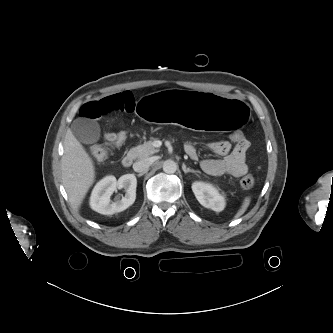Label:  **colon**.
<instances>
[{
	"label": "colon",
	"mask_w": 333,
	"mask_h": 333,
	"mask_svg": "<svg viewBox=\"0 0 333 333\" xmlns=\"http://www.w3.org/2000/svg\"><path fill=\"white\" fill-rule=\"evenodd\" d=\"M229 137L230 140L234 143H241L244 140H246L245 135L239 130L232 131ZM126 139H127V132L121 131L117 134H114L111 144H113L114 146H120L126 141ZM90 153L95 160L104 161L107 159L109 155V149L105 146L96 145L91 148ZM254 184H255V179L251 174H247L241 179V185L245 189L252 188Z\"/></svg>",
	"instance_id": "1"
}]
</instances>
